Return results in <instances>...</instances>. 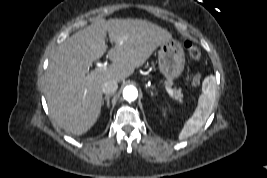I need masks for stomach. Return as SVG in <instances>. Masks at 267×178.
Listing matches in <instances>:
<instances>
[{
    "instance_id": "stomach-1",
    "label": "stomach",
    "mask_w": 267,
    "mask_h": 178,
    "mask_svg": "<svg viewBox=\"0 0 267 178\" xmlns=\"http://www.w3.org/2000/svg\"><path fill=\"white\" fill-rule=\"evenodd\" d=\"M158 62L159 69L166 78H178L185 65V55L181 43L174 39L163 42L158 51Z\"/></svg>"
}]
</instances>
